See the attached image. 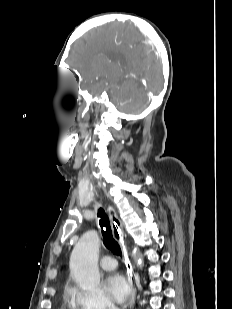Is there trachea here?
Instances as JSON below:
<instances>
[{"mask_svg": "<svg viewBox=\"0 0 232 309\" xmlns=\"http://www.w3.org/2000/svg\"><path fill=\"white\" fill-rule=\"evenodd\" d=\"M99 225L104 237L105 246L114 252L116 255H122L119 244L113 237L110 221L105 211L102 208L98 209Z\"/></svg>", "mask_w": 232, "mask_h": 309, "instance_id": "obj_1", "label": "trachea"}]
</instances>
